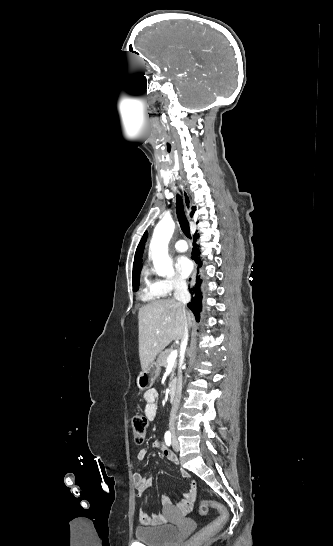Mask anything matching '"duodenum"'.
<instances>
[{"instance_id": "410a0bca", "label": "duodenum", "mask_w": 333, "mask_h": 546, "mask_svg": "<svg viewBox=\"0 0 333 546\" xmlns=\"http://www.w3.org/2000/svg\"><path fill=\"white\" fill-rule=\"evenodd\" d=\"M168 394L171 403H175L177 397V383L174 380L170 382Z\"/></svg>"}]
</instances>
